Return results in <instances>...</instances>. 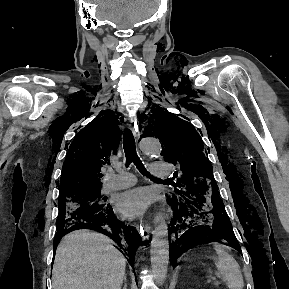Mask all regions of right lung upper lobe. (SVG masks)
I'll return each mask as SVG.
<instances>
[{"label":"right lung upper lobe","instance_id":"right-lung-upper-lobe-1","mask_svg":"<svg viewBox=\"0 0 289 289\" xmlns=\"http://www.w3.org/2000/svg\"><path fill=\"white\" fill-rule=\"evenodd\" d=\"M117 124L114 114L104 111L80 130L63 164L60 196L102 187L101 168L109 164L110 154L116 153L122 134Z\"/></svg>","mask_w":289,"mask_h":289}]
</instances>
